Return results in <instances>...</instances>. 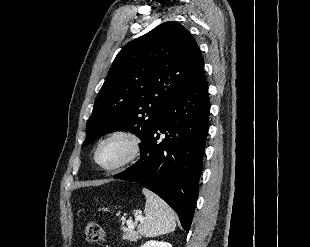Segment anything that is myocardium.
I'll return each instance as SVG.
<instances>
[{
    "mask_svg": "<svg viewBox=\"0 0 310 247\" xmlns=\"http://www.w3.org/2000/svg\"><path fill=\"white\" fill-rule=\"evenodd\" d=\"M114 139L125 140L129 145V151L126 157L120 162L112 166H105L99 162L98 153L105 143ZM141 153H142V139L140 135L130 129H119L108 134L105 138H103L99 142V144L96 146L94 150L93 158L95 163L103 170L108 172H115L133 164L140 157Z\"/></svg>",
    "mask_w": 310,
    "mask_h": 247,
    "instance_id": "1",
    "label": "myocardium"
}]
</instances>
